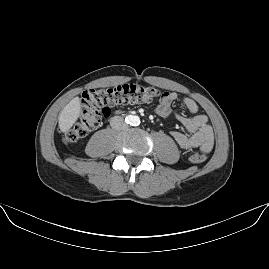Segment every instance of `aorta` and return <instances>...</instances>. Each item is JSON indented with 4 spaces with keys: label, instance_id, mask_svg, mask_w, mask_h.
<instances>
[{
    "label": "aorta",
    "instance_id": "1",
    "mask_svg": "<svg viewBox=\"0 0 269 269\" xmlns=\"http://www.w3.org/2000/svg\"><path fill=\"white\" fill-rule=\"evenodd\" d=\"M140 121L139 117L138 116H131V123L132 124H138Z\"/></svg>",
    "mask_w": 269,
    "mask_h": 269
}]
</instances>
